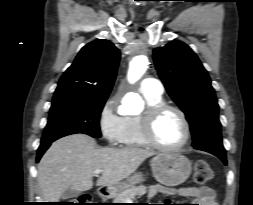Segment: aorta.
<instances>
[{
	"instance_id": "762f6f07",
	"label": "aorta",
	"mask_w": 253,
	"mask_h": 205,
	"mask_svg": "<svg viewBox=\"0 0 253 205\" xmlns=\"http://www.w3.org/2000/svg\"><path fill=\"white\" fill-rule=\"evenodd\" d=\"M148 65V59L146 56L139 55L134 57L130 63L128 77L130 82L134 83L145 73ZM133 98L138 99L136 95H132Z\"/></svg>"
}]
</instances>
